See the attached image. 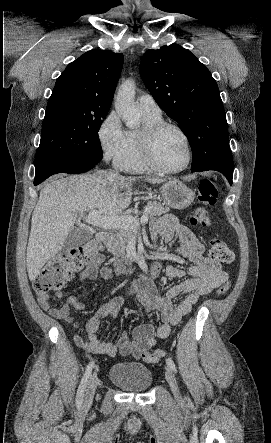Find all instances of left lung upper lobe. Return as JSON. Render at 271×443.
I'll use <instances>...</instances> for the list:
<instances>
[{"mask_svg": "<svg viewBox=\"0 0 271 443\" xmlns=\"http://www.w3.org/2000/svg\"><path fill=\"white\" fill-rule=\"evenodd\" d=\"M139 72L155 101L188 138L193 152L191 171L216 170L231 183L228 125L210 71L189 50L171 45L146 51Z\"/></svg>", "mask_w": 271, "mask_h": 443, "instance_id": "1", "label": "left lung upper lobe"}]
</instances>
